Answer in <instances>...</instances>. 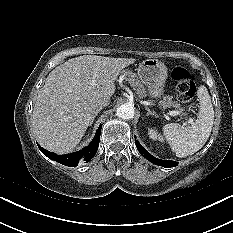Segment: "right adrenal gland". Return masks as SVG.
<instances>
[{"label":"right adrenal gland","instance_id":"obj_1","mask_svg":"<svg viewBox=\"0 0 233 233\" xmlns=\"http://www.w3.org/2000/svg\"><path fill=\"white\" fill-rule=\"evenodd\" d=\"M101 109H102V108L100 107V108H98V109L95 111V113H94V115H93V118H92V120H91V122H90V126L93 124V122H94L96 116H97L98 113L101 111Z\"/></svg>","mask_w":233,"mask_h":233}]
</instances>
